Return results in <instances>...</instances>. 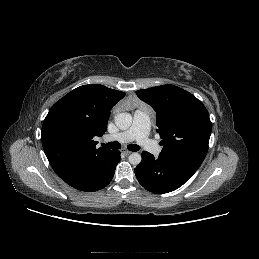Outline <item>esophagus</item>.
I'll return each mask as SVG.
<instances>
[{
  "instance_id": "esophagus-1",
  "label": "esophagus",
  "mask_w": 259,
  "mask_h": 259,
  "mask_svg": "<svg viewBox=\"0 0 259 259\" xmlns=\"http://www.w3.org/2000/svg\"><path fill=\"white\" fill-rule=\"evenodd\" d=\"M123 154H125V155H130L132 152L131 151H129V150H127V149H122V151H121Z\"/></svg>"
}]
</instances>
